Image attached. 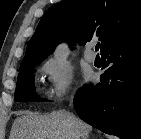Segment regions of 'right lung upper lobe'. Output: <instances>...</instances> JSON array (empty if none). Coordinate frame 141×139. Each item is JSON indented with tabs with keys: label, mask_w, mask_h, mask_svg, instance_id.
<instances>
[{
	"label": "right lung upper lobe",
	"mask_w": 141,
	"mask_h": 139,
	"mask_svg": "<svg viewBox=\"0 0 141 139\" xmlns=\"http://www.w3.org/2000/svg\"><path fill=\"white\" fill-rule=\"evenodd\" d=\"M141 35V0H63L51 6L32 36L20 68L40 64L63 41L99 37L101 54Z\"/></svg>",
	"instance_id": "cb5924a9"
}]
</instances>
